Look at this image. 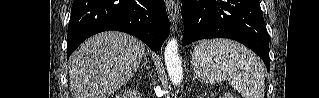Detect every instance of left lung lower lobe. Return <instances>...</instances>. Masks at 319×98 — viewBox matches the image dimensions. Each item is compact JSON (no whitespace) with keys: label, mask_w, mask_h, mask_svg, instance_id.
Wrapping results in <instances>:
<instances>
[{"label":"left lung lower lobe","mask_w":319,"mask_h":98,"mask_svg":"<svg viewBox=\"0 0 319 98\" xmlns=\"http://www.w3.org/2000/svg\"><path fill=\"white\" fill-rule=\"evenodd\" d=\"M183 45L209 38L241 42L270 70L268 32L259 0H183Z\"/></svg>","instance_id":"left-lung-lower-lobe-1"}]
</instances>
